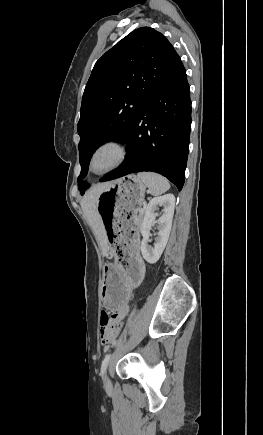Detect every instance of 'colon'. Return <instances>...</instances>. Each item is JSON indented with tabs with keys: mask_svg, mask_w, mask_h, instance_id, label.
<instances>
[{
	"mask_svg": "<svg viewBox=\"0 0 263 435\" xmlns=\"http://www.w3.org/2000/svg\"><path fill=\"white\" fill-rule=\"evenodd\" d=\"M105 321H111V317L106 311H102L100 316V323H101V342L103 345L104 343L110 344L112 342L111 336L108 335L107 330L103 328V323ZM118 328L124 329L123 321H118Z\"/></svg>",
	"mask_w": 263,
	"mask_h": 435,
	"instance_id": "colon-1",
	"label": "colon"
}]
</instances>
